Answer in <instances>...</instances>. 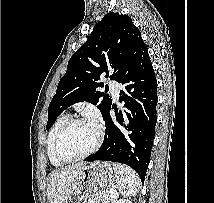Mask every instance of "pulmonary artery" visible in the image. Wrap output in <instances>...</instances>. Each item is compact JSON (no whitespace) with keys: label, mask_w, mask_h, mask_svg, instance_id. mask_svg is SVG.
I'll use <instances>...</instances> for the list:
<instances>
[{"label":"pulmonary artery","mask_w":214,"mask_h":203,"mask_svg":"<svg viewBox=\"0 0 214 203\" xmlns=\"http://www.w3.org/2000/svg\"><path fill=\"white\" fill-rule=\"evenodd\" d=\"M108 85H109V88L111 90V93H112L113 97L115 99H118V97H119V90H120L119 84L116 81L109 80L108 81Z\"/></svg>","instance_id":"obj_1"}]
</instances>
